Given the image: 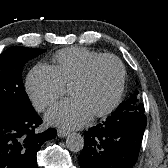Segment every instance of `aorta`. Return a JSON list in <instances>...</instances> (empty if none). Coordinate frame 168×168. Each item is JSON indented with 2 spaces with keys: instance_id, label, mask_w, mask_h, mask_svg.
I'll return each mask as SVG.
<instances>
[{
  "instance_id": "aorta-1",
  "label": "aorta",
  "mask_w": 168,
  "mask_h": 168,
  "mask_svg": "<svg viewBox=\"0 0 168 168\" xmlns=\"http://www.w3.org/2000/svg\"><path fill=\"white\" fill-rule=\"evenodd\" d=\"M66 146L72 152H79L84 147V138L79 133H71L66 138Z\"/></svg>"
}]
</instances>
